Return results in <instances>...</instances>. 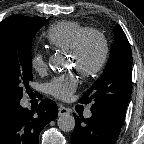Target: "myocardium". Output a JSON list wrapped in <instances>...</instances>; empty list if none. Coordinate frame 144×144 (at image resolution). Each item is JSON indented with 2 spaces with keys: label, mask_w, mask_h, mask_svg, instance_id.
Listing matches in <instances>:
<instances>
[{
  "label": "myocardium",
  "mask_w": 144,
  "mask_h": 144,
  "mask_svg": "<svg viewBox=\"0 0 144 144\" xmlns=\"http://www.w3.org/2000/svg\"><path fill=\"white\" fill-rule=\"evenodd\" d=\"M97 39L101 44V54L99 59L92 66H85L82 62L86 45L91 39ZM71 56L75 58V69L85 78H93L104 69L110 53V46L106 35L96 29H90L82 34L77 40L75 46L70 51Z\"/></svg>",
  "instance_id": "1"
}]
</instances>
